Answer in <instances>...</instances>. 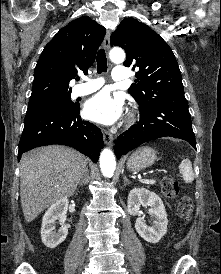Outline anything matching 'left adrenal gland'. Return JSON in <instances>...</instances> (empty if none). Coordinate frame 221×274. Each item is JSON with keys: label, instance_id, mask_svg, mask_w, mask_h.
Instances as JSON below:
<instances>
[{"label": "left adrenal gland", "instance_id": "a2214340", "mask_svg": "<svg viewBox=\"0 0 221 274\" xmlns=\"http://www.w3.org/2000/svg\"><path fill=\"white\" fill-rule=\"evenodd\" d=\"M123 179H124V186H127L128 184L131 183L126 176H123Z\"/></svg>", "mask_w": 221, "mask_h": 274}]
</instances>
